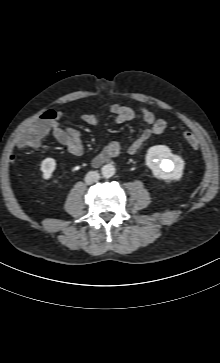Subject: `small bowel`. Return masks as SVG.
<instances>
[{
  "label": "small bowel",
  "mask_w": 220,
  "mask_h": 363,
  "mask_svg": "<svg viewBox=\"0 0 220 363\" xmlns=\"http://www.w3.org/2000/svg\"><path fill=\"white\" fill-rule=\"evenodd\" d=\"M108 112L115 116L118 123H124L140 116L141 119L148 124V127L141 132L140 136L128 146L127 151L131 155L136 154L152 136L163 133L167 126L164 119L158 118L152 110L145 107L135 108L128 105L113 104L109 107ZM61 115V112L57 113V118L51 125V132L56 140L64 146L70 154L81 156L84 152V146L81 141L80 132L72 126H61L57 121ZM82 120L93 126L98 125L100 122L99 116L92 113L84 114ZM38 145L39 143L34 146H29L26 143L25 135H23L18 142V146L22 148H33ZM122 149L123 147L119 142L107 141L101 153L94 159V164L99 165L109 159L119 156Z\"/></svg>",
  "instance_id": "small-bowel-1"
}]
</instances>
